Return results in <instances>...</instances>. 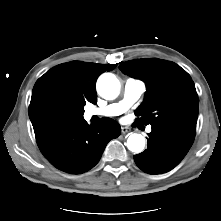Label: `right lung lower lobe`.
<instances>
[{"mask_svg": "<svg viewBox=\"0 0 221 221\" xmlns=\"http://www.w3.org/2000/svg\"><path fill=\"white\" fill-rule=\"evenodd\" d=\"M121 127L110 118L88 125L84 118L66 119L35 134L44 157L57 169L80 174L100 160L107 143L117 138Z\"/></svg>", "mask_w": 221, "mask_h": 221, "instance_id": "right-lung-lower-lobe-1", "label": "right lung lower lobe"}]
</instances>
